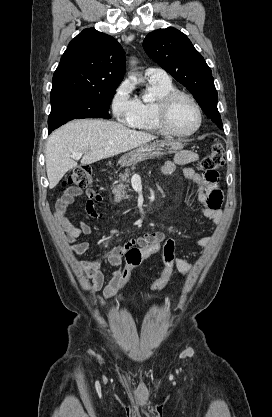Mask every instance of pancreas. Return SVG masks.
Instances as JSON below:
<instances>
[{"mask_svg": "<svg viewBox=\"0 0 272 417\" xmlns=\"http://www.w3.org/2000/svg\"><path fill=\"white\" fill-rule=\"evenodd\" d=\"M131 169L134 170L135 166H132ZM129 176H130V170L127 169L125 170L124 173L120 174L121 183L113 186L112 193L114 194L116 201H121L122 199L130 198V196L127 194L128 185L124 184V182L127 183L129 181L128 179Z\"/></svg>", "mask_w": 272, "mask_h": 417, "instance_id": "cf45deb5", "label": "pancreas"}]
</instances>
